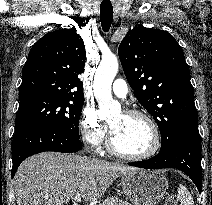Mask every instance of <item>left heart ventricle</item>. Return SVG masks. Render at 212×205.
<instances>
[{"mask_svg":"<svg viewBox=\"0 0 212 205\" xmlns=\"http://www.w3.org/2000/svg\"><path fill=\"white\" fill-rule=\"evenodd\" d=\"M109 124L113 144L119 151L138 154L149 147L151 134L143 119L117 114L110 119Z\"/></svg>","mask_w":212,"mask_h":205,"instance_id":"obj_1","label":"left heart ventricle"}]
</instances>
